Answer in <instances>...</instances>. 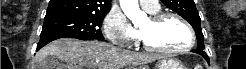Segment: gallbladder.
I'll list each match as a JSON object with an SVG mask.
<instances>
[{
	"mask_svg": "<svg viewBox=\"0 0 246 69\" xmlns=\"http://www.w3.org/2000/svg\"><path fill=\"white\" fill-rule=\"evenodd\" d=\"M45 61L48 62V64L46 65V68L66 69V66L65 65H62V64H54L53 63V57L52 56H48Z\"/></svg>",
	"mask_w": 246,
	"mask_h": 69,
	"instance_id": "obj_1",
	"label": "gallbladder"
}]
</instances>
